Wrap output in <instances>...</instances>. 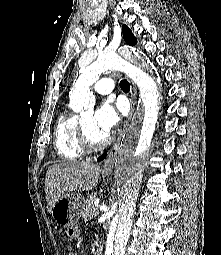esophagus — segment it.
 <instances>
[{"label":"esophagus","instance_id":"1","mask_svg":"<svg viewBox=\"0 0 221 255\" xmlns=\"http://www.w3.org/2000/svg\"><path fill=\"white\" fill-rule=\"evenodd\" d=\"M136 99H137V89H136L135 84L132 81H130V104H131L130 112H129L128 117L125 120L123 129L119 133V137H118L116 143L114 144L113 148L108 153L107 158L104 162L103 170L105 172L113 171V167H114V163H115L117 153L119 150L121 138H122L125 130L127 129L128 125L133 117V114H134V110H135V106H136Z\"/></svg>","mask_w":221,"mask_h":255}]
</instances>
